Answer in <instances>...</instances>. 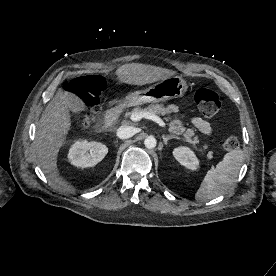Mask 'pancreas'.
Wrapping results in <instances>:
<instances>
[{
  "label": "pancreas",
  "instance_id": "cf45deb5",
  "mask_svg": "<svg viewBox=\"0 0 276 276\" xmlns=\"http://www.w3.org/2000/svg\"><path fill=\"white\" fill-rule=\"evenodd\" d=\"M142 111L150 112L153 114L166 115L171 113H177L179 109L175 105H169L165 107L163 104H160V105L151 104L144 109H141L140 107H136L131 112L127 111L124 114V117L127 118V117H130L133 113H138ZM166 120H169V119H166ZM169 130L177 136L182 135L183 139L186 142L192 144L194 147L199 143L198 137L194 135L193 129H190V128L187 129L184 126L183 122L177 118H174L169 122ZM207 149H208V146L205 144L202 150L206 151ZM206 156H207V159L210 160L213 157V153L208 152Z\"/></svg>",
  "mask_w": 276,
  "mask_h": 276
}]
</instances>
